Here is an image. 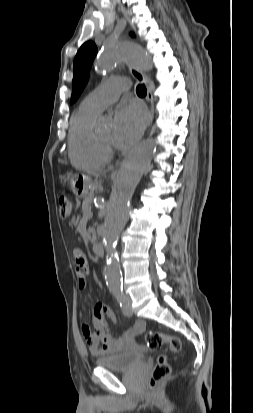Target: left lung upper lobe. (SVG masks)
Returning a JSON list of instances; mask_svg holds the SVG:
<instances>
[{"mask_svg":"<svg viewBox=\"0 0 253 413\" xmlns=\"http://www.w3.org/2000/svg\"><path fill=\"white\" fill-rule=\"evenodd\" d=\"M97 54V47L94 42L84 43L78 50L74 59V77L72 82V96L70 103H74L83 91L88 78L93 60Z\"/></svg>","mask_w":253,"mask_h":413,"instance_id":"obj_1","label":"left lung upper lobe"}]
</instances>
